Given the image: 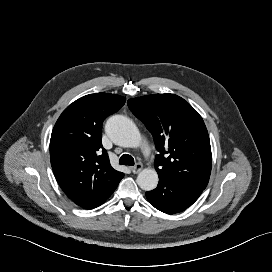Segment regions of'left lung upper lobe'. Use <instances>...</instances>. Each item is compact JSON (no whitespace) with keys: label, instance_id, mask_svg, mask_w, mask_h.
I'll return each mask as SVG.
<instances>
[{"label":"left lung upper lobe","instance_id":"obj_1","mask_svg":"<svg viewBox=\"0 0 272 272\" xmlns=\"http://www.w3.org/2000/svg\"><path fill=\"white\" fill-rule=\"evenodd\" d=\"M128 107L152 133L159 154V178L206 188L212 165L209 135L202 117L183 98L154 94L129 99Z\"/></svg>","mask_w":272,"mask_h":272}]
</instances>
